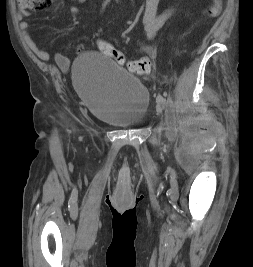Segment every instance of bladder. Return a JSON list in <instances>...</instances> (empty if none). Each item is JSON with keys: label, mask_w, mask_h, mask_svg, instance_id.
I'll return each instance as SVG.
<instances>
[{"label": "bladder", "mask_w": 253, "mask_h": 267, "mask_svg": "<svg viewBox=\"0 0 253 267\" xmlns=\"http://www.w3.org/2000/svg\"><path fill=\"white\" fill-rule=\"evenodd\" d=\"M74 86L92 115L116 127L141 125L149 112L147 87L105 54L84 52L72 66Z\"/></svg>", "instance_id": "31cf9c89"}]
</instances>
